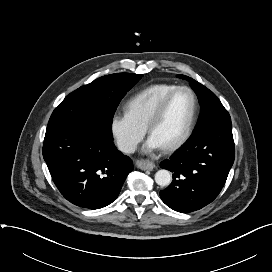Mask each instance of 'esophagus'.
I'll return each mask as SVG.
<instances>
[{
  "label": "esophagus",
  "mask_w": 272,
  "mask_h": 272,
  "mask_svg": "<svg viewBox=\"0 0 272 272\" xmlns=\"http://www.w3.org/2000/svg\"><path fill=\"white\" fill-rule=\"evenodd\" d=\"M136 165L141 170H152L155 167V164L152 161L146 159L137 160Z\"/></svg>",
  "instance_id": "34e87169"
}]
</instances>
